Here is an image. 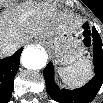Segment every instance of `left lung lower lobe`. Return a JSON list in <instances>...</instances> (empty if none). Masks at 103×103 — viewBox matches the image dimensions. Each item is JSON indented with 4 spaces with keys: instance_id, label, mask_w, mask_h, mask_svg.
<instances>
[{
    "instance_id": "obj_1",
    "label": "left lung lower lobe",
    "mask_w": 103,
    "mask_h": 103,
    "mask_svg": "<svg viewBox=\"0 0 103 103\" xmlns=\"http://www.w3.org/2000/svg\"><path fill=\"white\" fill-rule=\"evenodd\" d=\"M90 32V31H89ZM93 62L95 76L83 87L76 90L60 89L54 81V70L49 63L44 70L46 90L50 97L60 103H88L94 99L103 83V50L99 33L93 27Z\"/></svg>"
}]
</instances>
